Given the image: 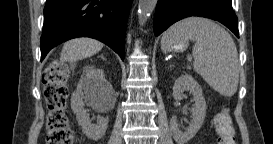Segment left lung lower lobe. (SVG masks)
<instances>
[{
  "label": "left lung lower lobe",
  "mask_w": 273,
  "mask_h": 144,
  "mask_svg": "<svg viewBox=\"0 0 273 144\" xmlns=\"http://www.w3.org/2000/svg\"><path fill=\"white\" fill-rule=\"evenodd\" d=\"M232 0H158L154 16V33L160 35L170 25L189 16L217 20L238 38V19L232 9Z\"/></svg>",
  "instance_id": "1"
}]
</instances>
